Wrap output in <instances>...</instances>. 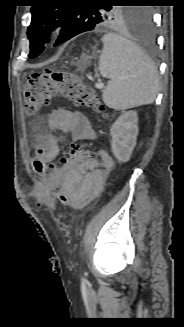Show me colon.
Segmentation results:
<instances>
[{
	"label": "colon",
	"mask_w": 184,
	"mask_h": 327,
	"mask_svg": "<svg viewBox=\"0 0 184 327\" xmlns=\"http://www.w3.org/2000/svg\"><path fill=\"white\" fill-rule=\"evenodd\" d=\"M56 97L68 99L77 106L92 108L99 113L104 111V106L99 102L94 90L80 76L68 71L46 70L32 75L25 84L23 99L26 114L37 113ZM70 150L73 153L93 155L92 150L81 145L72 146ZM40 170L47 174L44 165H41ZM51 200L74 209H79L87 203L78 201L60 190L52 194Z\"/></svg>",
	"instance_id": "5ec220e1"
}]
</instances>
